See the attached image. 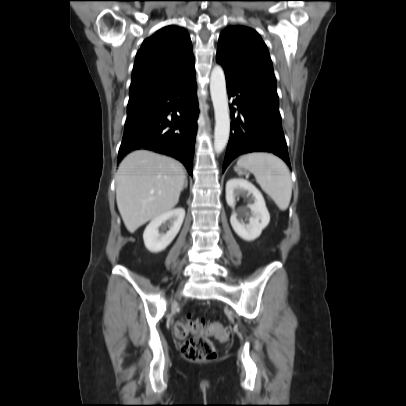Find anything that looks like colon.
<instances>
[{"mask_svg":"<svg viewBox=\"0 0 406 406\" xmlns=\"http://www.w3.org/2000/svg\"><path fill=\"white\" fill-rule=\"evenodd\" d=\"M175 334L183 340L181 352L185 359L196 362L211 361L217 356L216 349L207 335H214L220 341H226L228 338L227 331L220 323L192 318L179 321L175 326ZM190 334L194 336L187 338Z\"/></svg>","mask_w":406,"mask_h":406,"instance_id":"1","label":"colon"}]
</instances>
